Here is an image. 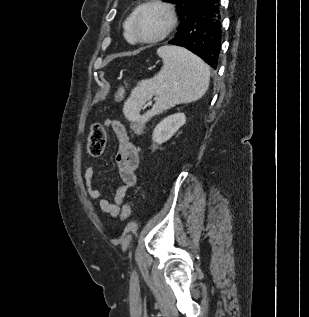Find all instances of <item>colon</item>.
I'll return each mask as SVG.
<instances>
[{
	"instance_id": "5ec220e1",
	"label": "colon",
	"mask_w": 309,
	"mask_h": 317,
	"mask_svg": "<svg viewBox=\"0 0 309 317\" xmlns=\"http://www.w3.org/2000/svg\"><path fill=\"white\" fill-rule=\"evenodd\" d=\"M124 88H120L117 92V99L120 100L123 98ZM141 126L137 125L136 130H140ZM106 145V132L102 125L94 124L91 127L89 138H88V153L93 156H99L104 151ZM131 214V209L129 204L125 203L122 207V216L125 219H128Z\"/></svg>"
}]
</instances>
